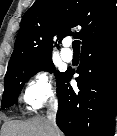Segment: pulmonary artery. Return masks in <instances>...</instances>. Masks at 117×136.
<instances>
[{
	"label": "pulmonary artery",
	"mask_w": 117,
	"mask_h": 136,
	"mask_svg": "<svg viewBox=\"0 0 117 136\" xmlns=\"http://www.w3.org/2000/svg\"><path fill=\"white\" fill-rule=\"evenodd\" d=\"M69 45V43H65L64 48L61 50V57L66 62H71L73 60V53L68 48Z\"/></svg>",
	"instance_id": "1"
}]
</instances>
